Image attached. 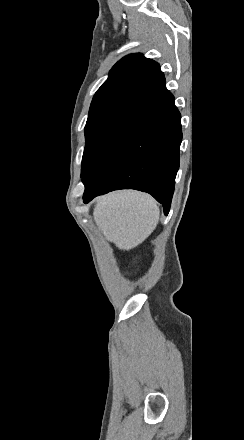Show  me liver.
<instances>
[{
	"label": "liver",
	"instance_id": "6515ba94",
	"mask_svg": "<svg viewBox=\"0 0 244 440\" xmlns=\"http://www.w3.org/2000/svg\"><path fill=\"white\" fill-rule=\"evenodd\" d=\"M94 222L107 242L132 250L155 230L160 210L154 198L136 190H120L98 198Z\"/></svg>",
	"mask_w": 244,
	"mask_h": 440
}]
</instances>
